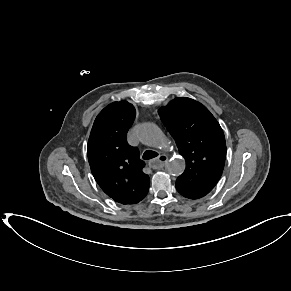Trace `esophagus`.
I'll use <instances>...</instances> for the list:
<instances>
[{
  "instance_id": "34e87169",
  "label": "esophagus",
  "mask_w": 291,
  "mask_h": 291,
  "mask_svg": "<svg viewBox=\"0 0 291 291\" xmlns=\"http://www.w3.org/2000/svg\"><path fill=\"white\" fill-rule=\"evenodd\" d=\"M168 161V157L165 154L159 155L157 158L150 161V166L153 169H159L163 167Z\"/></svg>"
}]
</instances>
